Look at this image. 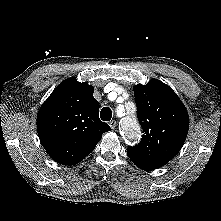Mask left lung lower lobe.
<instances>
[{"label":"left lung lower lobe","mask_w":221,"mask_h":221,"mask_svg":"<svg viewBox=\"0 0 221 221\" xmlns=\"http://www.w3.org/2000/svg\"><path fill=\"white\" fill-rule=\"evenodd\" d=\"M134 164H136L139 168L143 169V170H152V169H157L159 167L157 166H154L152 164H149V163H145V162H142V161H137V160H134V159H131Z\"/></svg>","instance_id":"1"}]
</instances>
